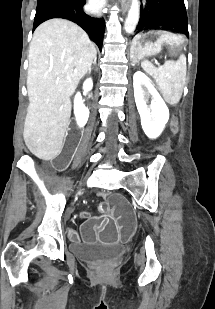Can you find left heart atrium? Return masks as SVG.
I'll use <instances>...</instances> for the list:
<instances>
[{"label": "left heart atrium", "instance_id": "left-heart-atrium-1", "mask_svg": "<svg viewBox=\"0 0 215 309\" xmlns=\"http://www.w3.org/2000/svg\"><path fill=\"white\" fill-rule=\"evenodd\" d=\"M93 10L94 12H103L104 7L103 5H97V2H94Z\"/></svg>", "mask_w": 215, "mask_h": 309}]
</instances>
